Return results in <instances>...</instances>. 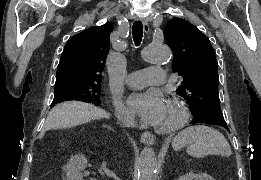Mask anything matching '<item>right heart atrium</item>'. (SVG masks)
<instances>
[{
  "label": "right heart atrium",
  "instance_id": "1",
  "mask_svg": "<svg viewBox=\"0 0 261 180\" xmlns=\"http://www.w3.org/2000/svg\"><path fill=\"white\" fill-rule=\"evenodd\" d=\"M110 99H111V103L115 107L116 112L119 113V114H123L124 113V108H123V106L121 104V101L118 98V96L115 95V94H112Z\"/></svg>",
  "mask_w": 261,
  "mask_h": 180
}]
</instances>
